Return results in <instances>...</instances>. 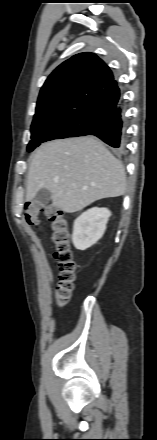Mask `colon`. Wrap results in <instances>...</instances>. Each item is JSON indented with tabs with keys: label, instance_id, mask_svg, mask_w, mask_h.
<instances>
[{
	"label": "colon",
	"instance_id": "obj_1",
	"mask_svg": "<svg viewBox=\"0 0 157 440\" xmlns=\"http://www.w3.org/2000/svg\"><path fill=\"white\" fill-rule=\"evenodd\" d=\"M43 215L48 219L50 237L56 248L54 256L59 266L56 296L58 306L63 307L72 295L76 269L70 249L69 221L65 213L53 205L38 201L25 204V219L30 226L37 228Z\"/></svg>",
	"mask_w": 157,
	"mask_h": 440
}]
</instances>
